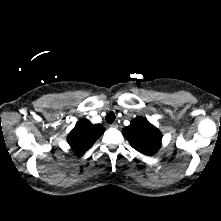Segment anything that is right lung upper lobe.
Segmentation results:
<instances>
[{"label":"right lung upper lobe","instance_id":"obj_1","mask_svg":"<svg viewBox=\"0 0 221 221\" xmlns=\"http://www.w3.org/2000/svg\"><path fill=\"white\" fill-rule=\"evenodd\" d=\"M105 128L100 124L93 125L89 120H80L68 135V143L77 153L88 150L104 133Z\"/></svg>","mask_w":221,"mask_h":221}]
</instances>
